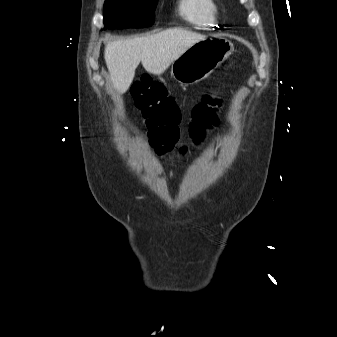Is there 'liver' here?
<instances>
[{"mask_svg": "<svg viewBox=\"0 0 337 337\" xmlns=\"http://www.w3.org/2000/svg\"><path fill=\"white\" fill-rule=\"evenodd\" d=\"M205 36L181 28L133 39L109 42L104 57L114 88L125 93L141 62L149 73L160 75L190 46Z\"/></svg>", "mask_w": 337, "mask_h": 337, "instance_id": "liver-1", "label": "liver"}]
</instances>
